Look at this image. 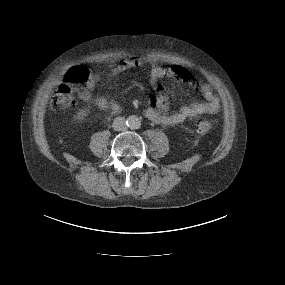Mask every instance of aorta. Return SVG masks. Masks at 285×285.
Masks as SVG:
<instances>
[{
    "label": "aorta",
    "instance_id": "aorta-1",
    "mask_svg": "<svg viewBox=\"0 0 285 285\" xmlns=\"http://www.w3.org/2000/svg\"><path fill=\"white\" fill-rule=\"evenodd\" d=\"M127 125L130 129H138L141 126V122L137 116L131 115L127 119Z\"/></svg>",
    "mask_w": 285,
    "mask_h": 285
}]
</instances>
